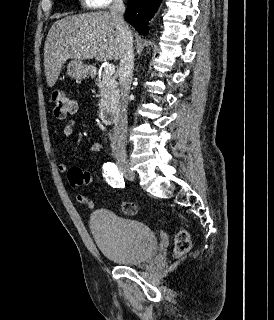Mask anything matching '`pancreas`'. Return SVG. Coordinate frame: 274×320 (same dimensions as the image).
Here are the masks:
<instances>
[{
  "label": "pancreas",
  "instance_id": "pancreas-1",
  "mask_svg": "<svg viewBox=\"0 0 274 320\" xmlns=\"http://www.w3.org/2000/svg\"><path fill=\"white\" fill-rule=\"evenodd\" d=\"M95 82L96 86H99L102 96L98 104L100 110H109V108H115V106H118L120 94L115 78H113V76H109V74H101V76L96 78Z\"/></svg>",
  "mask_w": 274,
  "mask_h": 320
}]
</instances>
